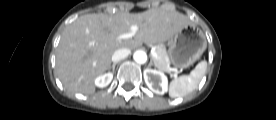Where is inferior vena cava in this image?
Masks as SVG:
<instances>
[{
  "label": "inferior vena cava",
  "instance_id": "1",
  "mask_svg": "<svg viewBox=\"0 0 276 120\" xmlns=\"http://www.w3.org/2000/svg\"><path fill=\"white\" fill-rule=\"evenodd\" d=\"M130 50L127 49V48H121V49H118L114 52V54L112 55V61L115 63V62H118L122 59H125L126 57H128V55L130 54Z\"/></svg>",
  "mask_w": 276,
  "mask_h": 120
}]
</instances>
